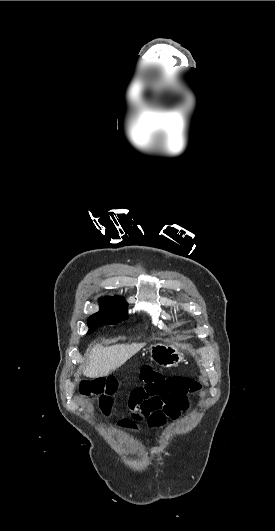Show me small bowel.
I'll use <instances>...</instances> for the list:
<instances>
[{"instance_id":"c3829d8e","label":"small bowel","mask_w":275,"mask_h":531,"mask_svg":"<svg viewBox=\"0 0 275 531\" xmlns=\"http://www.w3.org/2000/svg\"><path fill=\"white\" fill-rule=\"evenodd\" d=\"M143 387L136 390L129 402L131 414L118 422V427L131 433H138V423L145 422L156 432L163 431L169 423L180 420L188 411V401L184 397L201 396L203 385L192 383L191 373H165L157 367L145 363L140 370ZM163 375V377H162ZM163 380L164 383H161ZM105 394L100 396L102 413L111 415L113 399L118 394V377H105ZM181 394L182 396L178 395Z\"/></svg>"}]
</instances>
